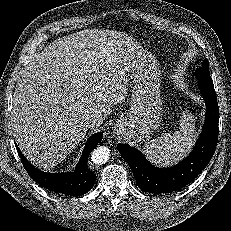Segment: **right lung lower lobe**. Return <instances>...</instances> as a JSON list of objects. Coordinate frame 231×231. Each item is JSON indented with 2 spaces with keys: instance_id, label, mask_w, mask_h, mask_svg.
I'll use <instances>...</instances> for the list:
<instances>
[{
  "instance_id": "1",
  "label": "right lung lower lobe",
  "mask_w": 231,
  "mask_h": 231,
  "mask_svg": "<svg viewBox=\"0 0 231 231\" xmlns=\"http://www.w3.org/2000/svg\"><path fill=\"white\" fill-rule=\"evenodd\" d=\"M103 133L92 135L86 142L81 158L74 172L45 173L35 168L21 153L16 145L21 161L27 173L42 187L71 196H81L87 193L95 183V174L87 166L90 152L102 140Z\"/></svg>"
}]
</instances>
